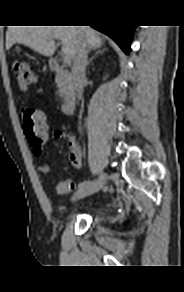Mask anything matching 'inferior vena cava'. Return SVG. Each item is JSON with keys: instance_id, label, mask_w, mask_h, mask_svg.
I'll use <instances>...</instances> for the list:
<instances>
[{"instance_id": "602c4592", "label": "inferior vena cava", "mask_w": 184, "mask_h": 292, "mask_svg": "<svg viewBox=\"0 0 184 292\" xmlns=\"http://www.w3.org/2000/svg\"><path fill=\"white\" fill-rule=\"evenodd\" d=\"M87 54L88 45L82 35L81 43L77 49L76 55L74 56L72 66V87L77 90V96L79 99H82L83 87L86 82L85 69L87 65Z\"/></svg>"}]
</instances>
